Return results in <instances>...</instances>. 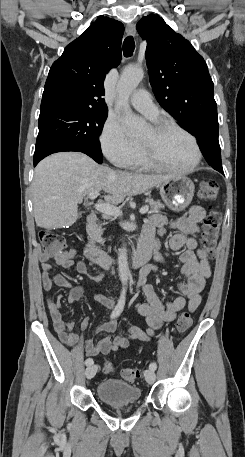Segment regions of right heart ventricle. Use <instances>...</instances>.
I'll return each instance as SVG.
<instances>
[{
	"label": "right heart ventricle",
	"mask_w": 245,
	"mask_h": 457,
	"mask_svg": "<svg viewBox=\"0 0 245 457\" xmlns=\"http://www.w3.org/2000/svg\"><path fill=\"white\" fill-rule=\"evenodd\" d=\"M123 165L127 168H132V169H139V168L146 167L145 163L140 159L137 150L132 155V157L129 158Z\"/></svg>",
	"instance_id": "right-heart-ventricle-1"
}]
</instances>
